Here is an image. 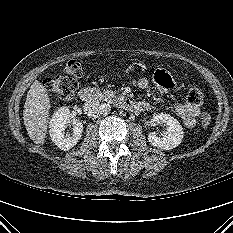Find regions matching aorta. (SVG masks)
Returning a JSON list of instances; mask_svg holds the SVG:
<instances>
[{
    "label": "aorta",
    "mask_w": 233,
    "mask_h": 233,
    "mask_svg": "<svg viewBox=\"0 0 233 233\" xmlns=\"http://www.w3.org/2000/svg\"><path fill=\"white\" fill-rule=\"evenodd\" d=\"M111 110V106L109 104L104 103L103 104V109H102V114L107 115Z\"/></svg>",
    "instance_id": "aorta-1"
}]
</instances>
